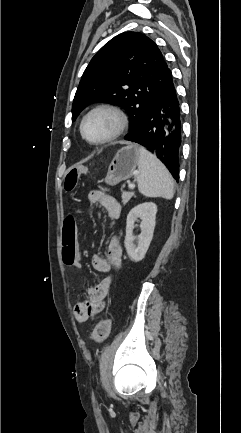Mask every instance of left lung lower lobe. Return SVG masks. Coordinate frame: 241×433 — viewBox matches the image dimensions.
I'll use <instances>...</instances> for the list:
<instances>
[{"instance_id": "1", "label": "left lung lower lobe", "mask_w": 241, "mask_h": 433, "mask_svg": "<svg viewBox=\"0 0 241 433\" xmlns=\"http://www.w3.org/2000/svg\"><path fill=\"white\" fill-rule=\"evenodd\" d=\"M181 135V109L172 73L169 71L163 89L125 140L146 147L165 164L173 177L178 180Z\"/></svg>"}]
</instances>
